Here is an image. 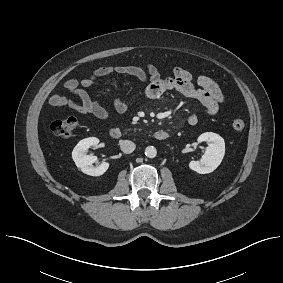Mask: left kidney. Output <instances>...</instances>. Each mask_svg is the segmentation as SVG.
<instances>
[{
  "mask_svg": "<svg viewBox=\"0 0 283 283\" xmlns=\"http://www.w3.org/2000/svg\"><path fill=\"white\" fill-rule=\"evenodd\" d=\"M197 141L207 142L205 153L200 161L191 160L189 168L199 174H208L213 172L222 162L225 155L224 139L213 132H205L201 134Z\"/></svg>",
  "mask_w": 283,
  "mask_h": 283,
  "instance_id": "left-kidney-1",
  "label": "left kidney"
}]
</instances>
